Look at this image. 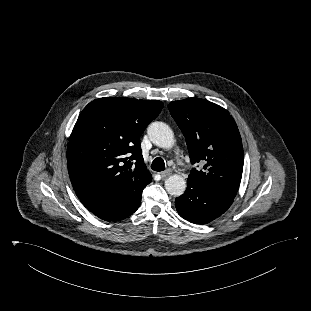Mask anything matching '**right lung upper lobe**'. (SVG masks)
Listing matches in <instances>:
<instances>
[{
	"instance_id": "obj_1",
	"label": "right lung upper lobe",
	"mask_w": 311,
	"mask_h": 311,
	"mask_svg": "<svg viewBox=\"0 0 311 311\" xmlns=\"http://www.w3.org/2000/svg\"><path fill=\"white\" fill-rule=\"evenodd\" d=\"M161 101L99 98L81 112L67 146V166L80 200L129 203L152 181L140 136ZM133 161V162H132Z\"/></svg>"
}]
</instances>
